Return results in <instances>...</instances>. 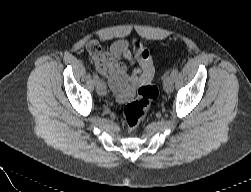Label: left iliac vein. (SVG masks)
Masks as SVG:
<instances>
[{"label":"left iliac vein","mask_w":251,"mask_h":192,"mask_svg":"<svg viewBox=\"0 0 251 192\" xmlns=\"http://www.w3.org/2000/svg\"><path fill=\"white\" fill-rule=\"evenodd\" d=\"M173 85H174V78H172L171 76H167L163 83V88L165 92L168 94L171 93L173 91Z\"/></svg>","instance_id":"left-iliac-vein-1"}]
</instances>
